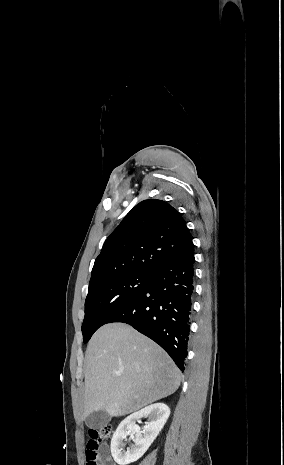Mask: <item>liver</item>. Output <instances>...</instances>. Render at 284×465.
<instances>
[{"label": "liver", "mask_w": 284, "mask_h": 465, "mask_svg": "<svg viewBox=\"0 0 284 465\" xmlns=\"http://www.w3.org/2000/svg\"><path fill=\"white\" fill-rule=\"evenodd\" d=\"M180 381L178 367L156 343L125 323L104 325L85 355L81 421L95 411L110 417L136 413L175 393Z\"/></svg>", "instance_id": "6515ba94"}]
</instances>
